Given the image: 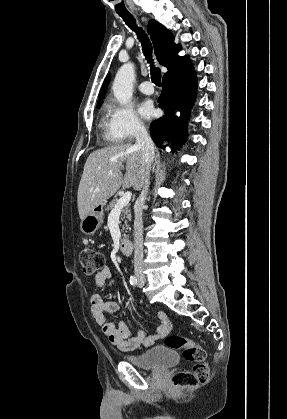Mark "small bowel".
Instances as JSON below:
<instances>
[{"instance_id": "c3829d8e", "label": "small bowel", "mask_w": 287, "mask_h": 419, "mask_svg": "<svg viewBox=\"0 0 287 419\" xmlns=\"http://www.w3.org/2000/svg\"><path fill=\"white\" fill-rule=\"evenodd\" d=\"M112 277L108 267H104L97 272L95 276L96 288H101ZM120 309L118 302H105L97 293L90 297V310L96 323L101 327L103 334L108 340L122 351H137L143 347L153 345L156 341L165 338L171 331L172 325L166 313L159 311L157 318L160 325L156 332L146 335L144 331L138 332L136 336H131V331L124 321H120L118 325L110 322L105 316V312L114 313Z\"/></svg>"}]
</instances>
